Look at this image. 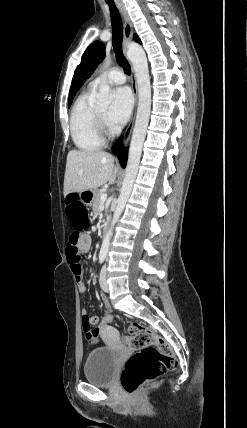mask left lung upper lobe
<instances>
[{
  "instance_id": "1",
  "label": "left lung upper lobe",
  "mask_w": 247,
  "mask_h": 428,
  "mask_svg": "<svg viewBox=\"0 0 247 428\" xmlns=\"http://www.w3.org/2000/svg\"><path fill=\"white\" fill-rule=\"evenodd\" d=\"M135 40L140 42L138 36L135 35ZM105 57V46L100 41L93 42L84 52L81 63L75 70L72 84L69 91V103L71 106L75 93L81 88L84 82L92 75L96 67L102 62Z\"/></svg>"
}]
</instances>
